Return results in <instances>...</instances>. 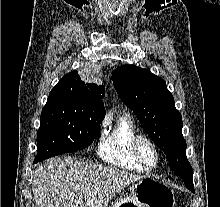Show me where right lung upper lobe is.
<instances>
[{
	"label": "right lung upper lobe",
	"instance_id": "right-lung-upper-lobe-1",
	"mask_svg": "<svg viewBox=\"0 0 220 207\" xmlns=\"http://www.w3.org/2000/svg\"><path fill=\"white\" fill-rule=\"evenodd\" d=\"M105 95L103 85L98 86L83 80L77 71L67 73L51 90L49 96L70 97L79 100L85 107L101 113L105 117L102 98Z\"/></svg>",
	"mask_w": 220,
	"mask_h": 207
}]
</instances>
